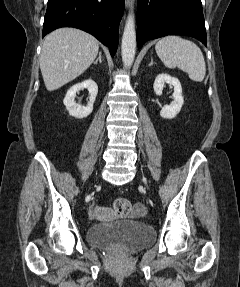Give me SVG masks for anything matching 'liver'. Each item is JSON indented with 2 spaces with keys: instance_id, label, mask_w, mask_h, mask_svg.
I'll use <instances>...</instances> for the list:
<instances>
[{
  "instance_id": "6515ba94",
  "label": "liver",
  "mask_w": 240,
  "mask_h": 287,
  "mask_svg": "<svg viewBox=\"0 0 240 287\" xmlns=\"http://www.w3.org/2000/svg\"><path fill=\"white\" fill-rule=\"evenodd\" d=\"M98 40L79 29L60 28L48 34L42 45L40 70L48 91L74 80L95 60Z\"/></svg>"
}]
</instances>
